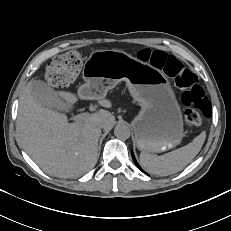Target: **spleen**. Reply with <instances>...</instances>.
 <instances>
[{"label": "spleen", "mask_w": 231, "mask_h": 231, "mask_svg": "<svg viewBox=\"0 0 231 231\" xmlns=\"http://www.w3.org/2000/svg\"><path fill=\"white\" fill-rule=\"evenodd\" d=\"M206 134L202 132L192 142L161 156L148 152L140 153V162L149 173L166 176L184 169L199 153L205 141Z\"/></svg>", "instance_id": "1"}]
</instances>
